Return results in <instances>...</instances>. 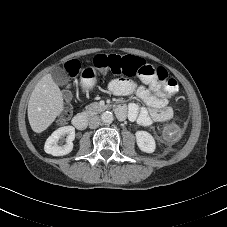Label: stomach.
<instances>
[{
  "mask_svg": "<svg viewBox=\"0 0 227 227\" xmlns=\"http://www.w3.org/2000/svg\"><path fill=\"white\" fill-rule=\"evenodd\" d=\"M96 77L97 74L93 67H86L81 72L82 84L88 88H91L95 85Z\"/></svg>",
  "mask_w": 227,
  "mask_h": 227,
  "instance_id": "stomach-1",
  "label": "stomach"
}]
</instances>
